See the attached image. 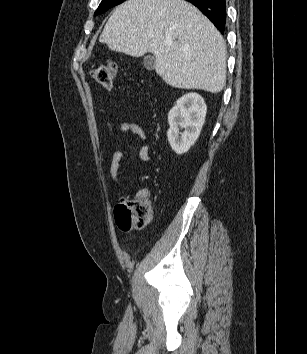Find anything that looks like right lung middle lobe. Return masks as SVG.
Wrapping results in <instances>:
<instances>
[{"label":"right lung middle lobe","mask_w":307,"mask_h":354,"mask_svg":"<svg viewBox=\"0 0 307 354\" xmlns=\"http://www.w3.org/2000/svg\"><path fill=\"white\" fill-rule=\"evenodd\" d=\"M126 0H102L94 15H99Z\"/></svg>","instance_id":"1"}]
</instances>
